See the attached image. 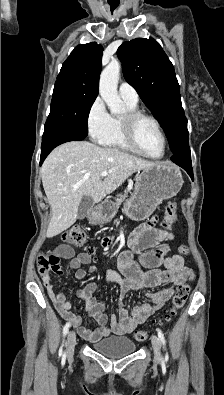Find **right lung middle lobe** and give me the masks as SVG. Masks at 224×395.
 <instances>
[{"mask_svg":"<svg viewBox=\"0 0 224 395\" xmlns=\"http://www.w3.org/2000/svg\"><path fill=\"white\" fill-rule=\"evenodd\" d=\"M98 93L62 83H55L48 124H61L79 135L88 134V115Z\"/></svg>","mask_w":224,"mask_h":395,"instance_id":"dd1d6c3e","label":"right lung middle lobe"}]
</instances>
